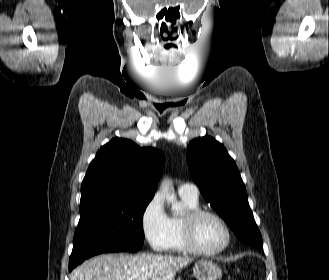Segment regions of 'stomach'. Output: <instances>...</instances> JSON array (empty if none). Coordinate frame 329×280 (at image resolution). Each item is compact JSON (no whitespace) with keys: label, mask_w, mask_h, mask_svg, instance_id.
I'll list each match as a JSON object with an SVG mask.
<instances>
[{"label":"stomach","mask_w":329,"mask_h":280,"mask_svg":"<svg viewBox=\"0 0 329 280\" xmlns=\"http://www.w3.org/2000/svg\"><path fill=\"white\" fill-rule=\"evenodd\" d=\"M193 274L197 280H220L221 268L212 261H198L193 267Z\"/></svg>","instance_id":"1"}]
</instances>
